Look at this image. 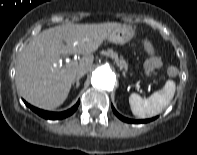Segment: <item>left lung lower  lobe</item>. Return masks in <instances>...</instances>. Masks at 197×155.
I'll list each match as a JSON object with an SVG mask.
<instances>
[{"instance_id":"obj_1","label":"left lung lower lobe","mask_w":197,"mask_h":155,"mask_svg":"<svg viewBox=\"0 0 197 155\" xmlns=\"http://www.w3.org/2000/svg\"><path fill=\"white\" fill-rule=\"evenodd\" d=\"M112 109H113V112L115 113V115H116L119 119H121L122 121H125V122H127V123H135V124L147 123V122H150V121H152V120L155 119V117H154V118H151V119H144V120H132V119L125 118V117L121 116L120 114H118V112L114 109L113 106H112Z\"/></svg>"}]
</instances>
